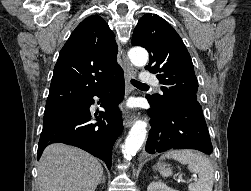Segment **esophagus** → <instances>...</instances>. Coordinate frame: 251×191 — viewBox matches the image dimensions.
Listing matches in <instances>:
<instances>
[{
	"label": "esophagus",
	"instance_id": "esophagus-1",
	"mask_svg": "<svg viewBox=\"0 0 251 191\" xmlns=\"http://www.w3.org/2000/svg\"><path fill=\"white\" fill-rule=\"evenodd\" d=\"M125 64H126V78L128 80V83L127 85H129V79L130 78H134L136 76V70L135 68L133 67V65H131V63H129L127 61V59H125ZM128 93H130V88L128 89ZM136 115L134 114H130V113H125L124 114V119H123V123H124V126L125 128H129L136 120Z\"/></svg>",
	"mask_w": 251,
	"mask_h": 191
}]
</instances>
